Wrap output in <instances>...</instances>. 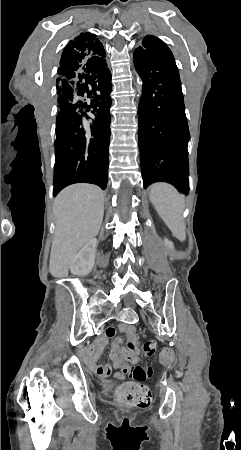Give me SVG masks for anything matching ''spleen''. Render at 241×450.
<instances>
[{"label":"spleen","instance_id":"1","mask_svg":"<svg viewBox=\"0 0 241 450\" xmlns=\"http://www.w3.org/2000/svg\"><path fill=\"white\" fill-rule=\"evenodd\" d=\"M149 200L173 236L180 242H184L186 234L182 218L185 206L183 194H179L171 184L158 182L150 186Z\"/></svg>","mask_w":241,"mask_h":450}]
</instances>
